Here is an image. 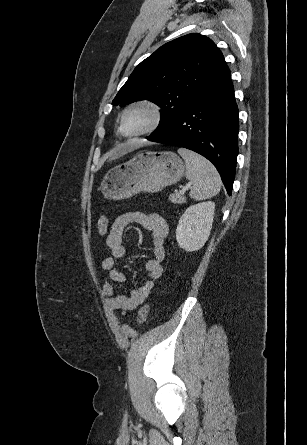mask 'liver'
<instances>
[{
    "mask_svg": "<svg viewBox=\"0 0 307 445\" xmlns=\"http://www.w3.org/2000/svg\"><path fill=\"white\" fill-rule=\"evenodd\" d=\"M118 154H114V156H111V158H109V160H114V158H117Z\"/></svg>",
    "mask_w": 307,
    "mask_h": 445,
    "instance_id": "6515ba94",
    "label": "liver"
}]
</instances>
